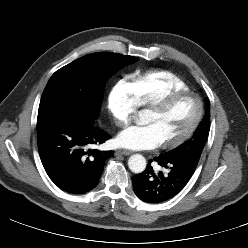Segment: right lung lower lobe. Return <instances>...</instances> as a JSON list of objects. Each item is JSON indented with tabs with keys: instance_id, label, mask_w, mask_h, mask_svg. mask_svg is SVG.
Returning <instances> with one entry per match:
<instances>
[{
	"instance_id": "right-lung-lower-lobe-1",
	"label": "right lung lower lobe",
	"mask_w": 248,
	"mask_h": 248,
	"mask_svg": "<svg viewBox=\"0 0 248 248\" xmlns=\"http://www.w3.org/2000/svg\"><path fill=\"white\" fill-rule=\"evenodd\" d=\"M110 136L93 119L47 114L37 118V142L44 169L53 183L71 194H84L99 182L105 160L114 151L87 150Z\"/></svg>"
}]
</instances>
